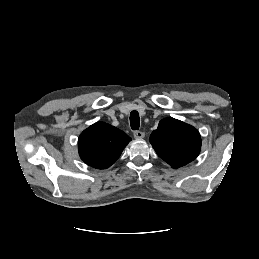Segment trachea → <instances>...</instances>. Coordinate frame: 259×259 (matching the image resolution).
<instances>
[{"mask_svg":"<svg viewBox=\"0 0 259 259\" xmlns=\"http://www.w3.org/2000/svg\"><path fill=\"white\" fill-rule=\"evenodd\" d=\"M130 125L132 130H138L140 126L139 113L137 111H132L130 113Z\"/></svg>","mask_w":259,"mask_h":259,"instance_id":"1","label":"trachea"}]
</instances>
